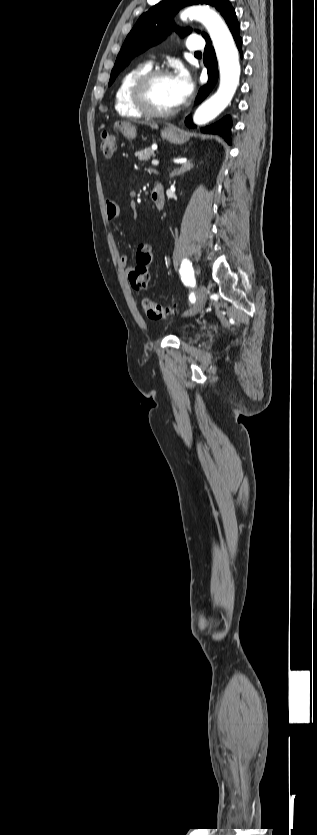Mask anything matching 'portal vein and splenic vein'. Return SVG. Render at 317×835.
<instances>
[{"mask_svg": "<svg viewBox=\"0 0 317 835\" xmlns=\"http://www.w3.org/2000/svg\"><path fill=\"white\" fill-rule=\"evenodd\" d=\"M152 148H153V149H156L157 147L153 146ZM151 164H152L153 166H158L159 161H158V160H153V161L151 162Z\"/></svg>", "mask_w": 317, "mask_h": 835, "instance_id": "portal-vein-and-splenic-vein-1", "label": "portal vein and splenic vein"}]
</instances>
